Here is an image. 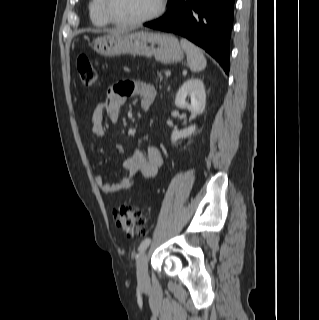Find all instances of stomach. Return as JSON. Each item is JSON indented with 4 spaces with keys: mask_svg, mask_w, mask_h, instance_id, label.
Wrapping results in <instances>:
<instances>
[{
    "mask_svg": "<svg viewBox=\"0 0 319 320\" xmlns=\"http://www.w3.org/2000/svg\"><path fill=\"white\" fill-rule=\"evenodd\" d=\"M93 47L106 57L121 54L154 56L164 64L178 63L184 57L182 46L174 35L147 31L105 35L97 38Z\"/></svg>",
    "mask_w": 319,
    "mask_h": 320,
    "instance_id": "0dacf381",
    "label": "stomach"
}]
</instances>
